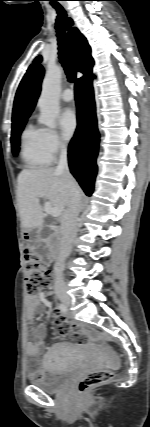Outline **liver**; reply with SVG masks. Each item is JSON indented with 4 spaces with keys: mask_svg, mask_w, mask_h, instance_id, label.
<instances>
[{
    "mask_svg": "<svg viewBox=\"0 0 150 427\" xmlns=\"http://www.w3.org/2000/svg\"><path fill=\"white\" fill-rule=\"evenodd\" d=\"M76 186L79 190L77 183ZM66 195L64 177L56 169L22 170L18 175L17 190L22 226L28 230L41 228L44 213L39 199L44 198L52 207H58L62 212L66 207Z\"/></svg>",
    "mask_w": 150,
    "mask_h": 427,
    "instance_id": "obj_1",
    "label": "liver"
}]
</instances>
